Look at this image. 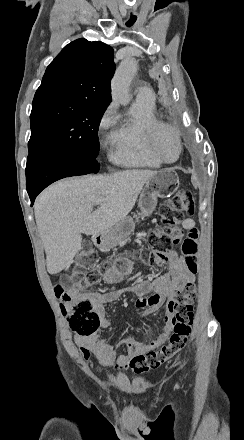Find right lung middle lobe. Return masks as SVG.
I'll return each instance as SVG.
<instances>
[{
  "label": "right lung middle lobe",
  "mask_w": 244,
  "mask_h": 440,
  "mask_svg": "<svg viewBox=\"0 0 244 440\" xmlns=\"http://www.w3.org/2000/svg\"><path fill=\"white\" fill-rule=\"evenodd\" d=\"M105 109L89 101H33L29 152L52 149L81 159H96L98 127Z\"/></svg>",
  "instance_id": "1"
}]
</instances>
